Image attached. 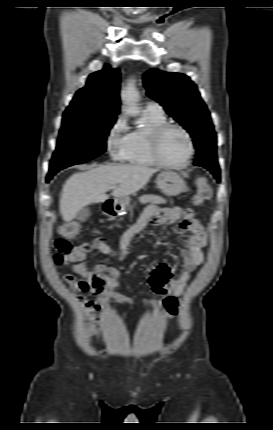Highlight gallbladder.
I'll return each mask as SVG.
<instances>
[{
  "mask_svg": "<svg viewBox=\"0 0 273 430\" xmlns=\"http://www.w3.org/2000/svg\"><path fill=\"white\" fill-rule=\"evenodd\" d=\"M90 215V210L88 208H83L80 210L76 216L77 220L85 221Z\"/></svg>",
  "mask_w": 273,
  "mask_h": 430,
  "instance_id": "gallbladder-1",
  "label": "gallbladder"
}]
</instances>
